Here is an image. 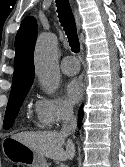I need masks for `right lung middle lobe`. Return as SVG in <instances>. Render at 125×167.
Wrapping results in <instances>:
<instances>
[{"instance_id": "1", "label": "right lung middle lobe", "mask_w": 125, "mask_h": 167, "mask_svg": "<svg viewBox=\"0 0 125 167\" xmlns=\"http://www.w3.org/2000/svg\"><path fill=\"white\" fill-rule=\"evenodd\" d=\"M28 91L29 90H23L15 94H10L5 117H4L5 129H9L13 126L15 117L18 115L19 109Z\"/></svg>"}]
</instances>
